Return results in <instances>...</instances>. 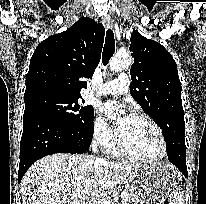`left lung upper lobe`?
<instances>
[{
  "mask_svg": "<svg viewBox=\"0 0 206 204\" xmlns=\"http://www.w3.org/2000/svg\"><path fill=\"white\" fill-rule=\"evenodd\" d=\"M129 50L134 58L131 95L162 129L166 143L184 141L182 87L175 60L161 44L136 30L131 35Z\"/></svg>",
  "mask_w": 206,
  "mask_h": 204,
  "instance_id": "obj_1",
  "label": "left lung upper lobe"
}]
</instances>
